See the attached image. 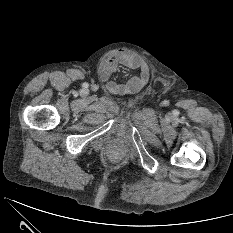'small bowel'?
Segmentation results:
<instances>
[{
  "label": "small bowel",
  "mask_w": 233,
  "mask_h": 233,
  "mask_svg": "<svg viewBox=\"0 0 233 233\" xmlns=\"http://www.w3.org/2000/svg\"><path fill=\"white\" fill-rule=\"evenodd\" d=\"M124 65L136 69L139 74L125 83L110 80L118 65ZM99 76L106 83L107 90L114 95L132 94L140 91L149 80V68L147 64L136 54L125 49L112 52L99 67Z\"/></svg>",
  "instance_id": "small-bowel-1"
}]
</instances>
